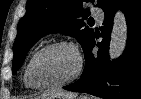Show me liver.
I'll return each mask as SVG.
<instances>
[{"label": "liver", "instance_id": "6515ba94", "mask_svg": "<svg viewBox=\"0 0 141 99\" xmlns=\"http://www.w3.org/2000/svg\"><path fill=\"white\" fill-rule=\"evenodd\" d=\"M41 97H48L51 99H76L77 95L67 91H49L42 94Z\"/></svg>", "mask_w": 141, "mask_h": 99}]
</instances>
